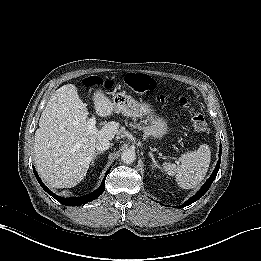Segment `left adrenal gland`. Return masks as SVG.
<instances>
[{"label":"left adrenal gland","mask_w":261,"mask_h":261,"mask_svg":"<svg viewBox=\"0 0 261 261\" xmlns=\"http://www.w3.org/2000/svg\"><path fill=\"white\" fill-rule=\"evenodd\" d=\"M148 154H149L150 158L152 159L153 167L161 169V166H160L159 163L155 160L153 154H152L151 152H149Z\"/></svg>","instance_id":"obj_1"}]
</instances>
